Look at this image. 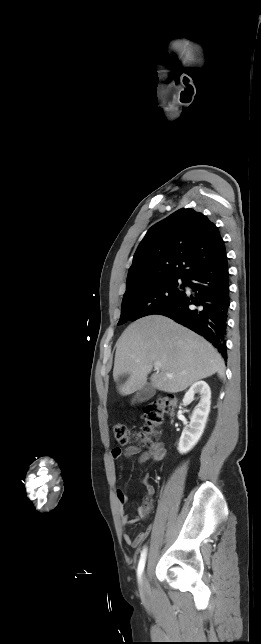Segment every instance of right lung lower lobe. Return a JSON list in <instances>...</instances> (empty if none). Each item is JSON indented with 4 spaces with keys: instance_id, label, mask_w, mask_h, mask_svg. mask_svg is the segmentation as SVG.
I'll use <instances>...</instances> for the list:
<instances>
[{
    "instance_id": "1",
    "label": "right lung lower lobe",
    "mask_w": 261,
    "mask_h": 644,
    "mask_svg": "<svg viewBox=\"0 0 261 644\" xmlns=\"http://www.w3.org/2000/svg\"><path fill=\"white\" fill-rule=\"evenodd\" d=\"M228 268V260L225 257L214 265L192 271L183 281L195 294L188 295L183 292L176 302L156 313L167 316L203 336L224 358L230 305Z\"/></svg>"
}]
</instances>
